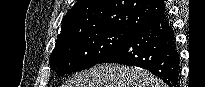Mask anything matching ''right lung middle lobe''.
Returning a JSON list of instances; mask_svg holds the SVG:
<instances>
[{"label":"right lung middle lobe","instance_id":"right-lung-middle-lobe-1","mask_svg":"<svg viewBox=\"0 0 205 87\" xmlns=\"http://www.w3.org/2000/svg\"><path fill=\"white\" fill-rule=\"evenodd\" d=\"M133 31L101 29L77 34L60 42L50 56V68L59 76L87 69L116 50Z\"/></svg>","mask_w":205,"mask_h":87}]
</instances>
